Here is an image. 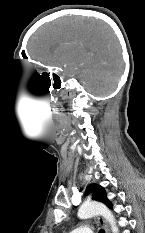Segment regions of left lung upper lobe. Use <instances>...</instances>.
Masks as SVG:
<instances>
[{"mask_svg": "<svg viewBox=\"0 0 145 233\" xmlns=\"http://www.w3.org/2000/svg\"><path fill=\"white\" fill-rule=\"evenodd\" d=\"M90 192L93 194L92 198L94 200L100 201V202L106 204L109 208H112V203L108 200V198L106 196V192H105L103 187H101L100 185H97V184L89 185L87 190H86V193L88 194Z\"/></svg>", "mask_w": 145, "mask_h": 233, "instance_id": "1", "label": "left lung upper lobe"}]
</instances>
